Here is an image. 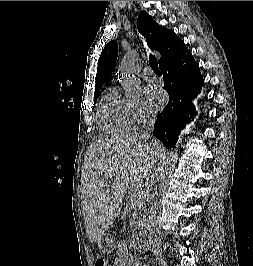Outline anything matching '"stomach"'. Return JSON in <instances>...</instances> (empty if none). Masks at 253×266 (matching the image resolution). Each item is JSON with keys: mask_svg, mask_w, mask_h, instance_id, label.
<instances>
[{"mask_svg": "<svg viewBox=\"0 0 253 266\" xmlns=\"http://www.w3.org/2000/svg\"><path fill=\"white\" fill-rule=\"evenodd\" d=\"M98 247L102 252H109L114 246V238L111 234H104L98 240Z\"/></svg>", "mask_w": 253, "mask_h": 266, "instance_id": "stomach-1", "label": "stomach"}]
</instances>
